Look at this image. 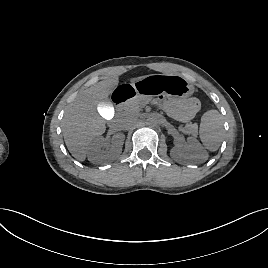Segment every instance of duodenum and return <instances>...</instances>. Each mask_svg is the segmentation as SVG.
Returning <instances> with one entry per match:
<instances>
[{
  "mask_svg": "<svg viewBox=\"0 0 268 268\" xmlns=\"http://www.w3.org/2000/svg\"><path fill=\"white\" fill-rule=\"evenodd\" d=\"M134 95V91L131 88H122L117 90L113 94V102L116 107H121L124 102Z\"/></svg>",
  "mask_w": 268,
  "mask_h": 268,
  "instance_id": "410a0bca",
  "label": "duodenum"
}]
</instances>
